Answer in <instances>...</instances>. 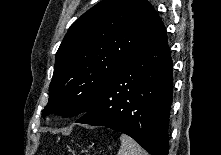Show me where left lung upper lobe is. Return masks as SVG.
Masks as SVG:
<instances>
[{
  "mask_svg": "<svg viewBox=\"0 0 221 155\" xmlns=\"http://www.w3.org/2000/svg\"><path fill=\"white\" fill-rule=\"evenodd\" d=\"M160 20L146 0H103L78 18L61 43L42 115L86 112Z\"/></svg>",
  "mask_w": 221,
  "mask_h": 155,
  "instance_id": "left-lung-upper-lobe-1",
  "label": "left lung upper lobe"
}]
</instances>
